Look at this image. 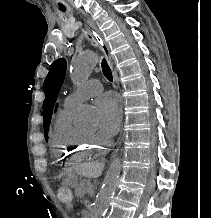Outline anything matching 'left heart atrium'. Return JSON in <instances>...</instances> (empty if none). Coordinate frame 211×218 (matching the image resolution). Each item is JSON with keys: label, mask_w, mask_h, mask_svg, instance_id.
Wrapping results in <instances>:
<instances>
[{"label": "left heart atrium", "mask_w": 211, "mask_h": 218, "mask_svg": "<svg viewBox=\"0 0 211 218\" xmlns=\"http://www.w3.org/2000/svg\"><path fill=\"white\" fill-rule=\"evenodd\" d=\"M98 112L99 132L104 138L113 137L120 126L121 107L117 97L111 93H104L95 102Z\"/></svg>", "instance_id": "1"}]
</instances>
